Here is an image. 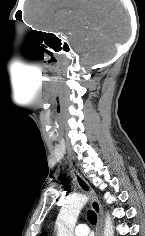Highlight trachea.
I'll list each match as a JSON object with an SVG mask.
<instances>
[{"instance_id": "obj_1", "label": "trachea", "mask_w": 145, "mask_h": 236, "mask_svg": "<svg viewBox=\"0 0 145 236\" xmlns=\"http://www.w3.org/2000/svg\"><path fill=\"white\" fill-rule=\"evenodd\" d=\"M87 216H88L89 222L91 224L95 225L97 222V216H96L95 212L92 210H89Z\"/></svg>"}]
</instances>
